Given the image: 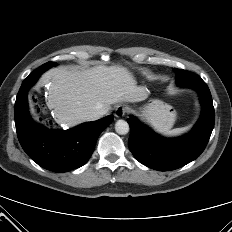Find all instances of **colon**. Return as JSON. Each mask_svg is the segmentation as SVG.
<instances>
[{
  "label": "colon",
  "mask_w": 232,
  "mask_h": 232,
  "mask_svg": "<svg viewBox=\"0 0 232 232\" xmlns=\"http://www.w3.org/2000/svg\"><path fill=\"white\" fill-rule=\"evenodd\" d=\"M34 102H35V107L37 109H40L41 108V104L38 102V100L35 99Z\"/></svg>",
  "instance_id": "colon-1"
}]
</instances>
